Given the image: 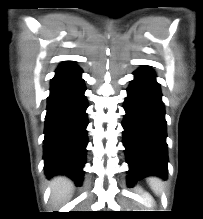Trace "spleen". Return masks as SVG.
<instances>
[{"instance_id":"3e777b00","label":"spleen","mask_w":203,"mask_h":219,"mask_svg":"<svg viewBox=\"0 0 203 219\" xmlns=\"http://www.w3.org/2000/svg\"><path fill=\"white\" fill-rule=\"evenodd\" d=\"M148 183L151 187V189L156 193L160 194L163 189V182L156 177H150L148 178Z\"/></svg>"}]
</instances>
